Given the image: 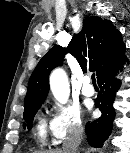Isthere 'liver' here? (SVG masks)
Masks as SVG:
<instances>
[{
  "instance_id": "6515ba94",
  "label": "liver",
  "mask_w": 130,
  "mask_h": 153,
  "mask_svg": "<svg viewBox=\"0 0 130 153\" xmlns=\"http://www.w3.org/2000/svg\"><path fill=\"white\" fill-rule=\"evenodd\" d=\"M44 153H63V151L62 150H52V151L44 152Z\"/></svg>"
}]
</instances>
